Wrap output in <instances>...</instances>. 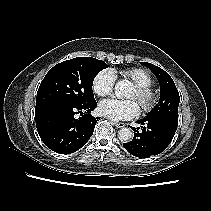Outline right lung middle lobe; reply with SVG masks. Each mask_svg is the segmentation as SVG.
<instances>
[{
    "mask_svg": "<svg viewBox=\"0 0 211 211\" xmlns=\"http://www.w3.org/2000/svg\"><path fill=\"white\" fill-rule=\"evenodd\" d=\"M107 64L91 57L63 61L46 74L37 92V104L87 105L95 102L92 84Z\"/></svg>",
    "mask_w": 211,
    "mask_h": 211,
    "instance_id": "right-lung-middle-lobe-1",
    "label": "right lung middle lobe"
}]
</instances>
